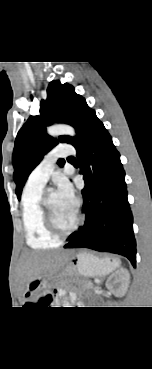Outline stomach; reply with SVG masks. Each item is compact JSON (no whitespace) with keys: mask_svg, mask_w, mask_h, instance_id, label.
I'll return each mask as SVG.
<instances>
[{"mask_svg":"<svg viewBox=\"0 0 152 369\" xmlns=\"http://www.w3.org/2000/svg\"><path fill=\"white\" fill-rule=\"evenodd\" d=\"M119 261L109 257L98 258L89 253H80L76 256L75 264H72L71 269H77L79 275L84 277L105 276L115 270ZM48 289L47 281L44 278H37L30 281L25 288L24 295L32 298L39 294H44Z\"/></svg>","mask_w":152,"mask_h":369,"instance_id":"1","label":"stomach"}]
</instances>
